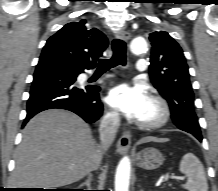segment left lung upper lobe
<instances>
[{
  "instance_id": "5c2ea615",
  "label": "left lung upper lobe",
  "mask_w": 218,
  "mask_h": 191,
  "mask_svg": "<svg viewBox=\"0 0 218 191\" xmlns=\"http://www.w3.org/2000/svg\"><path fill=\"white\" fill-rule=\"evenodd\" d=\"M152 44L149 74L151 82L169 102L173 122H177L183 111L188 120L181 128L189 133H201L194 113V94L189 79L188 66L181 47L164 31L150 34Z\"/></svg>"
}]
</instances>
